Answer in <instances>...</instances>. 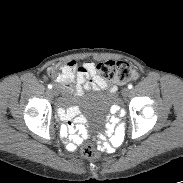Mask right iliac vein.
I'll return each instance as SVG.
<instances>
[{
  "label": "right iliac vein",
  "instance_id": "1",
  "mask_svg": "<svg viewBox=\"0 0 183 183\" xmlns=\"http://www.w3.org/2000/svg\"><path fill=\"white\" fill-rule=\"evenodd\" d=\"M51 92L53 93V95L57 96L58 95V90L56 88H53L51 90Z\"/></svg>",
  "mask_w": 183,
  "mask_h": 183
}]
</instances>
